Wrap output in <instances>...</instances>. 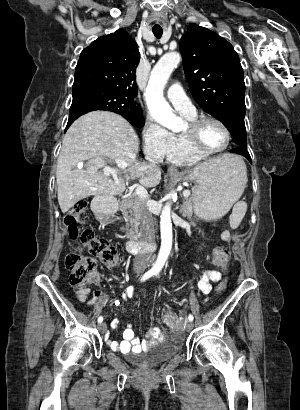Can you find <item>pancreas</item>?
I'll return each instance as SVG.
<instances>
[{
  "instance_id": "pancreas-1",
  "label": "pancreas",
  "mask_w": 300,
  "mask_h": 410,
  "mask_svg": "<svg viewBox=\"0 0 300 410\" xmlns=\"http://www.w3.org/2000/svg\"><path fill=\"white\" fill-rule=\"evenodd\" d=\"M144 209H145V202L141 198H139L136 194H132L124 198L120 202V211L123 214V218L127 222L126 230L128 232V235H134L137 232L140 215ZM181 212L183 216H186L188 218L192 217V214H193V199L192 198H186L183 201ZM129 227L131 228L129 229ZM122 230H125V228L123 227Z\"/></svg>"
}]
</instances>
